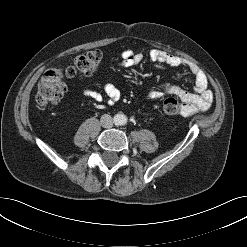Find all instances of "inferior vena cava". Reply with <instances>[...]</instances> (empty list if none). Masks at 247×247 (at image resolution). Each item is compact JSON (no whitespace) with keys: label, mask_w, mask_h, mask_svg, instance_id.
<instances>
[{"label":"inferior vena cava","mask_w":247,"mask_h":247,"mask_svg":"<svg viewBox=\"0 0 247 247\" xmlns=\"http://www.w3.org/2000/svg\"><path fill=\"white\" fill-rule=\"evenodd\" d=\"M100 122H101L102 127L104 128H111L113 126V118L108 114H104L101 117Z\"/></svg>","instance_id":"inferior-vena-cava-1"}]
</instances>
